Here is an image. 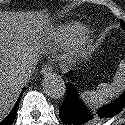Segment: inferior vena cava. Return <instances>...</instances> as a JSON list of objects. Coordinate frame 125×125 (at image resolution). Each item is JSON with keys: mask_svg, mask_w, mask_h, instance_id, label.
<instances>
[{"mask_svg": "<svg viewBox=\"0 0 125 125\" xmlns=\"http://www.w3.org/2000/svg\"><path fill=\"white\" fill-rule=\"evenodd\" d=\"M35 65V59H30L28 62L24 63V67L19 73V79L23 82L26 81Z\"/></svg>", "mask_w": 125, "mask_h": 125, "instance_id": "inferior-vena-cava-1", "label": "inferior vena cava"}]
</instances>
